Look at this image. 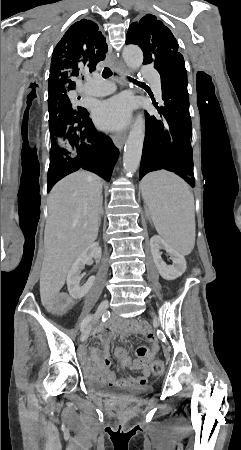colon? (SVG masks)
Here are the masks:
<instances>
[{"label": "colon", "instance_id": "5ec220e1", "mask_svg": "<svg viewBox=\"0 0 241 450\" xmlns=\"http://www.w3.org/2000/svg\"><path fill=\"white\" fill-rule=\"evenodd\" d=\"M163 371V363L161 361H157L153 366V372L158 375Z\"/></svg>", "mask_w": 241, "mask_h": 450}]
</instances>
